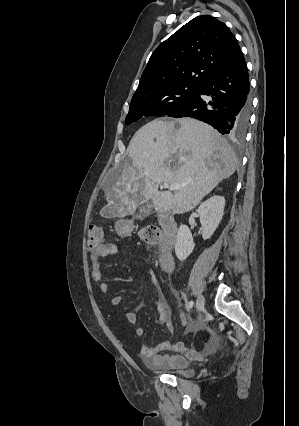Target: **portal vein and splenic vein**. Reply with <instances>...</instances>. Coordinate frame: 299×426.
I'll return each mask as SVG.
<instances>
[{
    "label": "portal vein and splenic vein",
    "instance_id": "obj_1",
    "mask_svg": "<svg viewBox=\"0 0 299 426\" xmlns=\"http://www.w3.org/2000/svg\"><path fill=\"white\" fill-rule=\"evenodd\" d=\"M185 186V184H168V183H164L163 187L165 189H169V190H179L181 188H183Z\"/></svg>",
    "mask_w": 299,
    "mask_h": 426
}]
</instances>
